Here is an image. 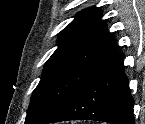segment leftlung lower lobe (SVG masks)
Here are the masks:
<instances>
[{
	"label": "left lung lower lobe",
	"instance_id": "0a47b994",
	"mask_svg": "<svg viewBox=\"0 0 145 124\" xmlns=\"http://www.w3.org/2000/svg\"><path fill=\"white\" fill-rule=\"evenodd\" d=\"M67 120H97L111 124H135L133 99L124 72L121 52H117L99 68L43 124Z\"/></svg>",
	"mask_w": 145,
	"mask_h": 124
}]
</instances>
